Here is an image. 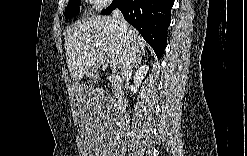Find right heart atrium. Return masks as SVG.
Masks as SVG:
<instances>
[{
  "mask_svg": "<svg viewBox=\"0 0 247 156\" xmlns=\"http://www.w3.org/2000/svg\"><path fill=\"white\" fill-rule=\"evenodd\" d=\"M92 5L95 6V8H97L98 10L104 9L105 7L108 6L109 1L106 0H93Z\"/></svg>",
  "mask_w": 247,
  "mask_h": 156,
  "instance_id": "1",
  "label": "right heart atrium"
}]
</instances>
